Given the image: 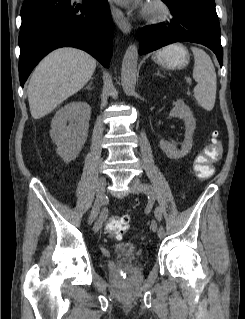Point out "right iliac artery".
Wrapping results in <instances>:
<instances>
[{"label": "right iliac artery", "mask_w": 245, "mask_h": 319, "mask_svg": "<svg viewBox=\"0 0 245 319\" xmlns=\"http://www.w3.org/2000/svg\"><path fill=\"white\" fill-rule=\"evenodd\" d=\"M106 215V209H103L101 212V218H104V216ZM97 222H99L98 224V230L101 228L102 222L101 220H98Z\"/></svg>", "instance_id": "1"}]
</instances>
